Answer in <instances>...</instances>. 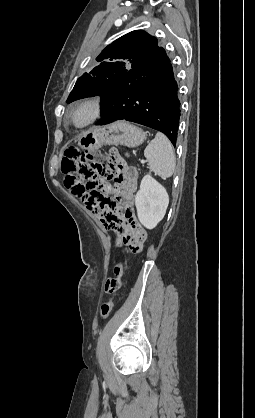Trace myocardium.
Segmentation results:
<instances>
[{
	"instance_id": "myocardium-1",
	"label": "myocardium",
	"mask_w": 255,
	"mask_h": 418,
	"mask_svg": "<svg viewBox=\"0 0 255 418\" xmlns=\"http://www.w3.org/2000/svg\"><path fill=\"white\" fill-rule=\"evenodd\" d=\"M81 109H86L88 114L82 122L77 123L74 120V116L76 112ZM102 115L103 102L101 98L98 96H89L79 100L70 108L67 115V121L69 125L76 129H85L98 122Z\"/></svg>"
}]
</instances>
